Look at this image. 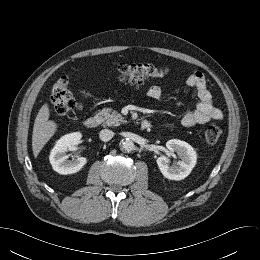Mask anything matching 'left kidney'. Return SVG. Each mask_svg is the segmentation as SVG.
Here are the masks:
<instances>
[{
	"label": "left kidney",
	"mask_w": 260,
	"mask_h": 260,
	"mask_svg": "<svg viewBox=\"0 0 260 260\" xmlns=\"http://www.w3.org/2000/svg\"><path fill=\"white\" fill-rule=\"evenodd\" d=\"M166 147L170 153L176 152L180 159L176 164L169 165L167 156L157 158V165L164 177L170 180H182L186 178L194 168L197 160L193 147L185 141L172 139L167 141Z\"/></svg>",
	"instance_id": "5707ae66"
}]
</instances>
